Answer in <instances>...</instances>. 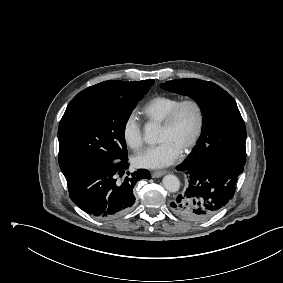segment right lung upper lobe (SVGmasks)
<instances>
[{"instance_id": "1", "label": "right lung upper lobe", "mask_w": 283, "mask_h": 283, "mask_svg": "<svg viewBox=\"0 0 283 283\" xmlns=\"http://www.w3.org/2000/svg\"><path fill=\"white\" fill-rule=\"evenodd\" d=\"M141 82V81H140ZM139 82H126V81H105L94 86L88 87L87 89L81 91L77 95H88V94H97V95H109L114 93H124L135 86L138 85Z\"/></svg>"}]
</instances>
